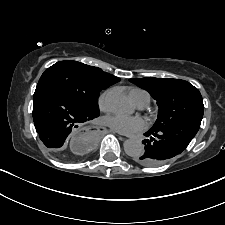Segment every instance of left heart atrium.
Returning a JSON list of instances; mask_svg holds the SVG:
<instances>
[{
	"mask_svg": "<svg viewBox=\"0 0 225 225\" xmlns=\"http://www.w3.org/2000/svg\"><path fill=\"white\" fill-rule=\"evenodd\" d=\"M104 121L107 126L122 134H132L145 128V122L139 116L111 114Z\"/></svg>",
	"mask_w": 225,
	"mask_h": 225,
	"instance_id": "39dd6f15",
	"label": "left heart atrium"
}]
</instances>
